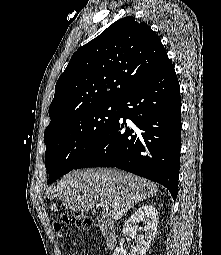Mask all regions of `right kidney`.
Returning <instances> with one entry per match:
<instances>
[{"label": "right kidney", "instance_id": "right-kidney-1", "mask_svg": "<svg viewBox=\"0 0 221 255\" xmlns=\"http://www.w3.org/2000/svg\"><path fill=\"white\" fill-rule=\"evenodd\" d=\"M145 224L143 231L144 234H137L140 229L139 223ZM158 225V212L152 205L145 204L138 208L125 222L123 226V236L136 235V245L132 247L131 253L123 247H117L114 250L113 255H145L148 251L152 240L155 238L157 233Z\"/></svg>", "mask_w": 221, "mask_h": 255}]
</instances>
